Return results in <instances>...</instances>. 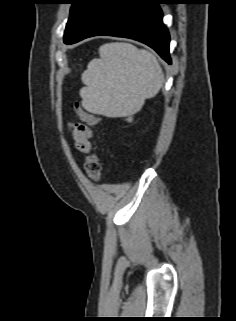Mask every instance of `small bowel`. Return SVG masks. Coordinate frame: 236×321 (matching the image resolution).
<instances>
[{"mask_svg":"<svg viewBox=\"0 0 236 321\" xmlns=\"http://www.w3.org/2000/svg\"><path fill=\"white\" fill-rule=\"evenodd\" d=\"M69 129L76 148L79 151L86 152L90 148L91 129L84 123H69Z\"/></svg>","mask_w":236,"mask_h":321,"instance_id":"obj_1","label":"small bowel"}]
</instances>
